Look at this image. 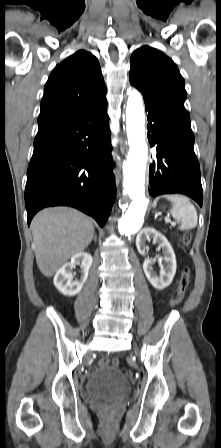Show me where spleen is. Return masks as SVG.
<instances>
[{"label":"spleen","mask_w":221,"mask_h":448,"mask_svg":"<svg viewBox=\"0 0 221 448\" xmlns=\"http://www.w3.org/2000/svg\"><path fill=\"white\" fill-rule=\"evenodd\" d=\"M162 197L173 204L170 213L180 223L179 230L184 231L196 227L198 223L197 211L187 197L179 194L164 195ZM157 201L158 199L153 202V206H156Z\"/></svg>","instance_id":"3e777b00"}]
</instances>
